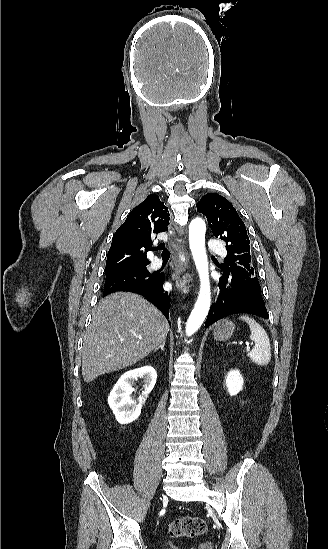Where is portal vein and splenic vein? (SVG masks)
<instances>
[{"instance_id": "18ae733b", "label": "portal vein and splenic vein", "mask_w": 328, "mask_h": 549, "mask_svg": "<svg viewBox=\"0 0 328 549\" xmlns=\"http://www.w3.org/2000/svg\"><path fill=\"white\" fill-rule=\"evenodd\" d=\"M239 345H242V341H241V343H239ZM248 345H249V343H247V347H248Z\"/></svg>"}]
</instances>
